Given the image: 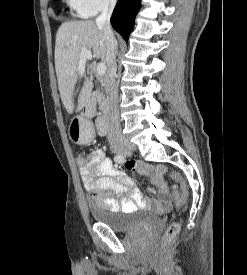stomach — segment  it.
Listing matches in <instances>:
<instances>
[{"instance_id": "obj_1", "label": "stomach", "mask_w": 247, "mask_h": 275, "mask_svg": "<svg viewBox=\"0 0 247 275\" xmlns=\"http://www.w3.org/2000/svg\"><path fill=\"white\" fill-rule=\"evenodd\" d=\"M93 130L88 122L74 119L69 127V136L77 144H86L93 139Z\"/></svg>"}]
</instances>
